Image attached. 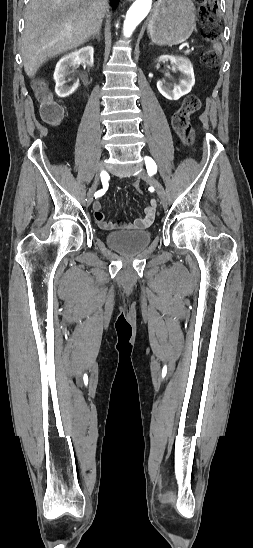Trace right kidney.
<instances>
[{
    "label": "right kidney",
    "mask_w": 253,
    "mask_h": 548,
    "mask_svg": "<svg viewBox=\"0 0 253 548\" xmlns=\"http://www.w3.org/2000/svg\"><path fill=\"white\" fill-rule=\"evenodd\" d=\"M93 54V47L86 46L79 49L78 51H74L72 53L64 55L58 61L54 71V80L56 82L55 92L59 97H68L76 91L79 86L78 82L74 83L73 85L67 84L70 81L66 79L67 75L69 74V69L71 67H75L81 62L90 66L93 65Z\"/></svg>",
    "instance_id": "obj_1"
}]
</instances>
